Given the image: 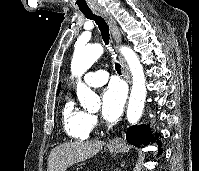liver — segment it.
Wrapping results in <instances>:
<instances>
[{"label": "liver", "mask_w": 199, "mask_h": 171, "mask_svg": "<svg viewBox=\"0 0 199 171\" xmlns=\"http://www.w3.org/2000/svg\"><path fill=\"white\" fill-rule=\"evenodd\" d=\"M103 141H75L55 147L48 158L47 171H66L73 164L87 160L104 146Z\"/></svg>", "instance_id": "1"}]
</instances>
